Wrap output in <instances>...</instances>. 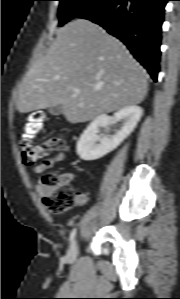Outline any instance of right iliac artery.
Masks as SVG:
<instances>
[{
	"label": "right iliac artery",
	"instance_id": "1",
	"mask_svg": "<svg viewBox=\"0 0 180 299\" xmlns=\"http://www.w3.org/2000/svg\"><path fill=\"white\" fill-rule=\"evenodd\" d=\"M75 235H76V229H73V230L71 231V233H70V237H69L70 242L73 241Z\"/></svg>",
	"mask_w": 180,
	"mask_h": 299
}]
</instances>
